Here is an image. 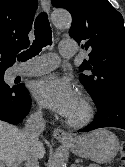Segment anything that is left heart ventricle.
<instances>
[{
	"label": "left heart ventricle",
	"instance_id": "b2bd125f",
	"mask_svg": "<svg viewBox=\"0 0 125 167\" xmlns=\"http://www.w3.org/2000/svg\"><path fill=\"white\" fill-rule=\"evenodd\" d=\"M83 114V108L80 102V99H78L77 104L75 105L72 112L68 115L70 118H79Z\"/></svg>",
	"mask_w": 125,
	"mask_h": 167
}]
</instances>
